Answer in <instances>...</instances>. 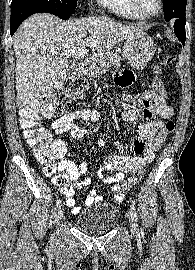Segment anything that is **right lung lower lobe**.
<instances>
[{
    "instance_id": "98d812e1",
    "label": "right lung lower lobe",
    "mask_w": 195,
    "mask_h": 270,
    "mask_svg": "<svg viewBox=\"0 0 195 270\" xmlns=\"http://www.w3.org/2000/svg\"><path fill=\"white\" fill-rule=\"evenodd\" d=\"M48 12L45 5L25 0L13 1L11 4L10 34L13 35L19 25L30 15Z\"/></svg>"
}]
</instances>
